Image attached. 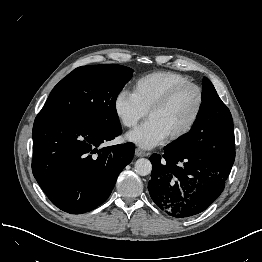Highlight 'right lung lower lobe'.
Here are the masks:
<instances>
[{"mask_svg":"<svg viewBox=\"0 0 262 262\" xmlns=\"http://www.w3.org/2000/svg\"><path fill=\"white\" fill-rule=\"evenodd\" d=\"M121 132V125L107 129L69 115L39 112L32 133V171L55 206L81 214L109 197L133 158L134 145L99 146Z\"/></svg>","mask_w":262,"mask_h":262,"instance_id":"1","label":"right lung lower lobe"}]
</instances>
